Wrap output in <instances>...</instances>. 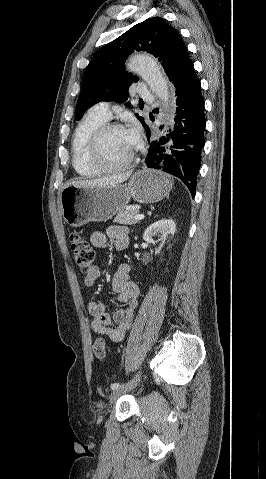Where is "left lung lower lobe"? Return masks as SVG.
Masks as SVG:
<instances>
[{
	"label": "left lung lower lobe",
	"mask_w": 266,
	"mask_h": 479,
	"mask_svg": "<svg viewBox=\"0 0 266 479\" xmlns=\"http://www.w3.org/2000/svg\"><path fill=\"white\" fill-rule=\"evenodd\" d=\"M177 105L173 132L152 141L145 158L147 167L161 170L178 177L190 190L196 192V180L201 166V152L204 147V99L201 83L190 61L173 82ZM147 137L151 132L144 127Z\"/></svg>",
	"instance_id": "obj_1"
}]
</instances>
